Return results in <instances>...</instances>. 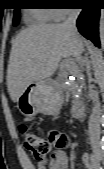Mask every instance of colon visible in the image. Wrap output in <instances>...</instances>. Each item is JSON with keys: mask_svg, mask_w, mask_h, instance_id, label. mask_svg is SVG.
<instances>
[{"mask_svg": "<svg viewBox=\"0 0 104 169\" xmlns=\"http://www.w3.org/2000/svg\"><path fill=\"white\" fill-rule=\"evenodd\" d=\"M20 131L24 137L26 149L41 163L46 160L52 144L61 148L67 142L65 135H60L56 131H50L47 135H42L31 131L26 126H21Z\"/></svg>", "mask_w": 104, "mask_h": 169, "instance_id": "obj_1", "label": "colon"}]
</instances>
